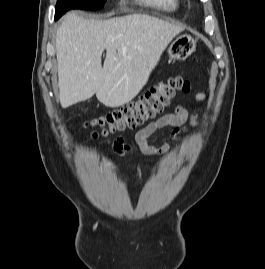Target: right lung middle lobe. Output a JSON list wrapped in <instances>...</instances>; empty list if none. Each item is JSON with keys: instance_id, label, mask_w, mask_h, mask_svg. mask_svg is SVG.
Here are the masks:
<instances>
[{"instance_id": "obj_1", "label": "right lung middle lobe", "mask_w": 265, "mask_h": 269, "mask_svg": "<svg viewBox=\"0 0 265 269\" xmlns=\"http://www.w3.org/2000/svg\"><path fill=\"white\" fill-rule=\"evenodd\" d=\"M105 2L106 0H57L55 16L59 18L70 9H101Z\"/></svg>"}]
</instances>
